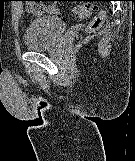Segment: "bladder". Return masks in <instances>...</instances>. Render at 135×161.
Here are the masks:
<instances>
[{
    "mask_svg": "<svg viewBox=\"0 0 135 161\" xmlns=\"http://www.w3.org/2000/svg\"><path fill=\"white\" fill-rule=\"evenodd\" d=\"M65 30V22L60 17L32 18L27 24L23 40L29 50H48L56 46Z\"/></svg>",
    "mask_w": 135,
    "mask_h": 161,
    "instance_id": "bladder-1",
    "label": "bladder"
}]
</instances>
